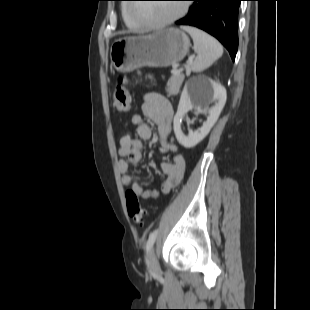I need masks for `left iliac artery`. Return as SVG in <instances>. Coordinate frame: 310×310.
I'll list each match as a JSON object with an SVG mask.
<instances>
[{
	"mask_svg": "<svg viewBox=\"0 0 310 310\" xmlns=\"http://www.w3.org/2000/svg\"><path fill=\"white\" fill-rule=\"evenodd\" d=\"M158 231L154 230L150 235L149 238L147 240V244H146V253L148 254L149 251L151 250L155 240H156V236H157ZM146 262L148 263V260L146 259Z\"/></svg>",
	"mask_w": 310,
	"mask_h": 310,
	"instance_id": "1",
	"label": "left iliac artery"
}]
</instances>
